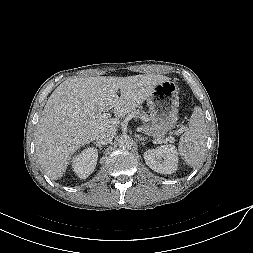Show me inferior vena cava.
Returning a JSON list of instances; mask_svg holds the SVG:
<instances>
[{
	"instance_id": "602c4592",
	"label": "inferior vena cava",
	"mask_w": 253,
	"mask_h": 253,
	"mask_svg": "<svg viewBox=\"0 0 253 253\" xmlns=\"http://www.w3.org/2000/svg\"><path fill=\"white\" fill-rule=\"evenodd\" d=\"M116 134V128L113 126L102 127L96 134L95 140L98 144L110 143Z\"/></svg>"
}]
</instances>
